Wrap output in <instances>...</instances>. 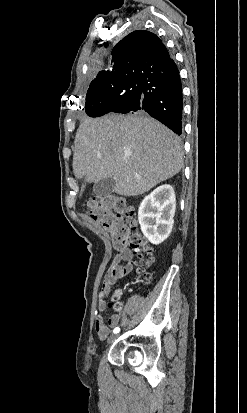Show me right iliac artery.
Returning <instances> with one entry per match:
<instances>
[{
  "mask_svg": "<svg viewBox=\"0 0 247 413\" xmlns=\"http://www.w3.org/2000/svg\"><path fill=\"white\" fill-rule=\"evenodd\" d=\"M119 331H120V328L119 327H116V328H114V330H113V333H119Z\"/></svg>",
  "mask_w": 247,
  "mask_h": 413,
  "instance_id": "82829eb1",
  "label": "right iliac artery"
}]
</instances>
